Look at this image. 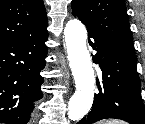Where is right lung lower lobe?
<instances>
[{
    "label": "right lung lower lobe",
    "mask_w": 145,
    "mask_h": 124,
    "mask_svg": "<svg viewBox=\"0 0 145 124\" xmlns=\"http://www.w3.org/2000/svg\"><path fill=\"white\" fill-rule=\"evenodd\" d=\"M48 38L41 34L0 43V123L27 124L42 98Z\"/></svg>",
    "instance_id": "obj_1"
}]
</instances>
